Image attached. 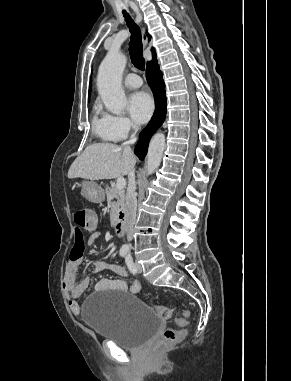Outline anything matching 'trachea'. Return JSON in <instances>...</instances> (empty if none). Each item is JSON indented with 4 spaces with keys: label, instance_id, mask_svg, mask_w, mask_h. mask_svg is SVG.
Wrapping results in <instances>:
<instances>
[{
    "label": "trachea",
    "instance_id": "1",
    "mask_svg": "<svg viewBox=\"0 0 291 381\" xmlns=\"http://www.w3.org/2000/svg\"><path fill=\"white\" fill-rule=\"evenodd\" d=\"M123 15L131 32L129 49L131 61L138 70L143 71L145 68V59L142 55L143 45L141 41L140 29L125 10H123Z\"/></svg>",
    "mask_w": 291,
    "mask_h": 381
}]
</instances>
